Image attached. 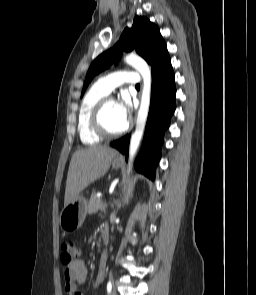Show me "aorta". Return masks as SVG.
I'll use <instances>...</instances> for the list:
<instances>
[{"label": "aorta", "mask_w": 256, "mask_h": 295, "mask_svg": "<svg viewBox=\"0 0 256 295\" xmlns=\"http://www.w3.org/2000/svg\"><path fill=\"white\" fill-rule=\"evenodd\" d=\"M125 61L128 65L134 67L141 74L143 79V89L140 108L137 114L136 128L131 137L129 147V168H131L132 160L139 147L147 121L151 94V70L148 64L137 55H127Z\"/></svg>", "instance_id": "1"}]
</instances>
